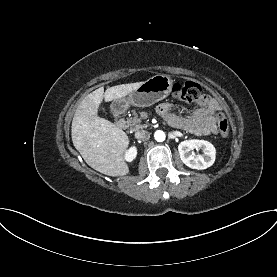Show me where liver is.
<instances>
[{"label":"liver","mask_w":277,"mask_h":277,"mask_svg":"<svg viewBox=\"0 0 277 277\" xmlns=\"http://www.w3.org/2000/svg\"><path fill=\"white\" fill-rule=\"evenodd\" d=\"M143 82L100 87L88 94L78 105L72 121V142L84 161L107 176H124L129 173L124 153L129 145L127 134L112 122L98 116L103 99L109 102L123 98Z\"/></svg>","instance_id":"obj_1"}]
</instances>
